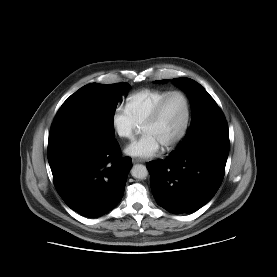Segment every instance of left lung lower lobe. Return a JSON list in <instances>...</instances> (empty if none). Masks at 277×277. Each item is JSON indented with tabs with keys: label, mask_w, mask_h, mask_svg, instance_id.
<instances>
[{
	"label": "left lung lower lobe",
	"mask_w": 277,
	"mask_h": 277,
	"mask_svg": "<svg viewBox=\"0 0 277 277\" xmlns=\"http://www.w3.org/2000/svg\"><path fill=\"white\" fill-rule=\"evenodd\" d=\"M226 122L201 129L165 160L146 164L151 190L171 213H191L208 203L219 189L229 154Z\"/></svg>",
	"instance_id": "left-lung-lower-lobe-1"
}]
</instances>
